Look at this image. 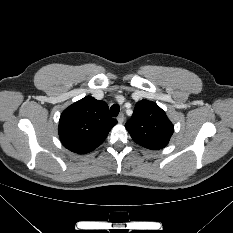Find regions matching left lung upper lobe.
<instances>
[{
	"label": "left lung upper lobe",
	"mask_w": 233,
	"mask_h": 233,
	"mask_svg": "<svg viewBox=\"0 0 233 233\" xmlns=\"http://www.w3.org/2000/svg\"><path fill=\"white\" fill-rule=\"evenodd\" d=\"M125 127L136 143L152 150L164 148L174 132V126L165 112L148 100L136 104Z\"/></svg>",
	"instance_id": "1"
}]
</instances>
